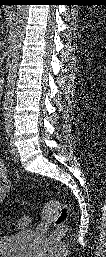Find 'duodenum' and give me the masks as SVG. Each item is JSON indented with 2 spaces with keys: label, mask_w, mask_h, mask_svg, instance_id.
<instances>
[{
  "label": "duodenum",
  "mask_w": 106,
  "mask_h": 257,
  "mask_svg": "<svg viewBox=\"0 0 106 257\" xmlns=\"http://www.w3.org/2000/svg\"><path fill=\"white\" fill-rule=\"evenodd\" d=\"M3 90V85H2V83L0 84V91H2Z\"/></svg>",
  "instance_id": "410a0bca"
}]
</instances>
